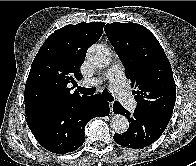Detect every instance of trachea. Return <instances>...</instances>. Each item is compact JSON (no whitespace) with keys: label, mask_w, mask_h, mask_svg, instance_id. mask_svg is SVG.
Wrapping results in <instances>:
<instances>
[{"label":"trachea","mask_w":196,"mask_h":166,"mask_svg":"<svg viewBox=\"0 0 196 166\" xmlns=\"http://www.w3.org/2000/svg\"><path fill=\"white\" fill-rule=\"evenodd\" d=\"M78 90L85 95H92L95 93V88H82L80 86L77 87ZM102 95L105 97L106 100L108 101H113L114 98L112 94L108 90H103Z\"/></svg>","instance_id":"3493384b"}]
</instances>
